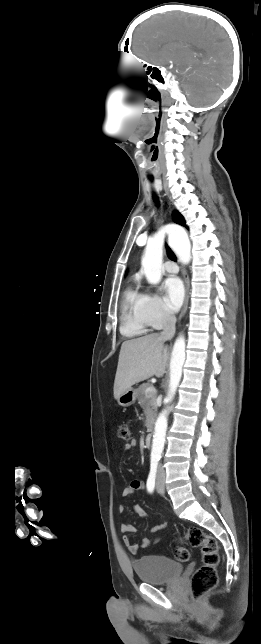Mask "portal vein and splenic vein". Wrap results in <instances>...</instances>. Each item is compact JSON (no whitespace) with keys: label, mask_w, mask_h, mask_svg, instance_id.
<instances>
[{"label":"portal vein and splenic vein","mask_w":261,"mask_h":644,"mask_svg":"<svg viewBox=\"0 0 261 644\" xmlns=\"http://www.w3.org/2000/svg\"><path fill=\"white\" fill-rule=\"evenodd\" d=\"M155 391H156L155 388L153 386H150L145 390V393L146 394H151V393H153Z\"/></svg>","instance_id":"18ae733b"}]
</instances>
